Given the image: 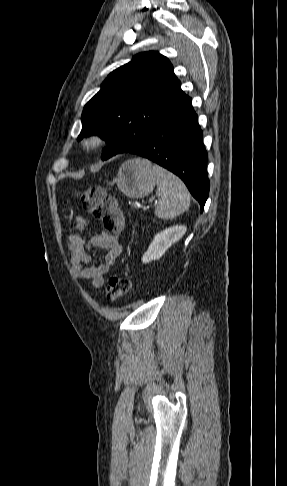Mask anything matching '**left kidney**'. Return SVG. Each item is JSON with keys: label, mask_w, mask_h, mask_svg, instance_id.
Returning <instances> with one entry per match:
<instances>
[{"label": "left kidney", "mask_w": 287, "mask_h": 486, "mask_svg": "<svg viewBox=\"0 0 287 486\" xmlns=\"http://www.w3.org/2000/svg\"><path fill=\"white\" fill-rule=\"evenodd\" d=\"M187 228L183 225H176L163 230L155 235L148 250L142 257L143 263H149L161 258L172 244L179 241L185 234Z\"/></svg>", "instance_id": "5707ae66"}]
</instances>
